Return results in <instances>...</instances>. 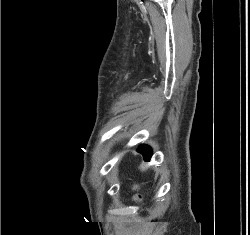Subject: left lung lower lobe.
<instances>
[{
    "instance_id": "0a47b994",
    "label": "left lung lower lobe",
    "mask_w": 250,
    "mask_h": 235,
    "mask_svg": "<svg viewBox=\"0 0 250 235\" xmlns=\"http://www.w3.org/2000/svg\"><path fill=\"white\" fill-rule=\"evenodd\" d=\"M138 152H140L143 157H144V160L146 161H149L151 156H152V150L149 146L147 145H141L139 148H138Z\"/></svg>"
}]
</instances>
